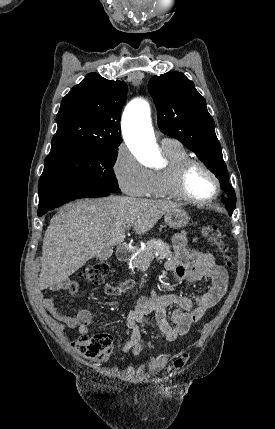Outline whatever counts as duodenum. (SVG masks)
Here are the masks:
<instances>
[{
    "label": "duodenum",
    "mask_w": 275,
    "mask_h": 429,
    "mask_svg": "<svg viewBox=\"0 0 275 429\" xmlns=\"http://www.w3.org/2000/svg\"><path fill=\"white\" fill-rule=\"evenodd\" d=\"M132 256V248L129 245H120L117 249V257L120 261H127Z\"/></svg>",
    "instance_id": "1"
}]
</instances>
